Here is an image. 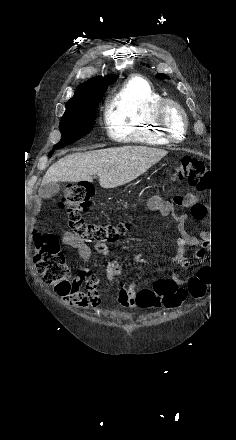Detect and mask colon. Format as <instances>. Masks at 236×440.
Masks as SVG:
<instances>
[{"instance_id":"1","label":"colon","mask_w":236,"mask_h":440,"mask_svg":"<svg viewBox=\"0 0 236 440\" xmlns=\"http://www.w3.org/2000/svg\"><path fill=\"white\" fill-rule=\"evenodd\" d=\"M171 179L175 182L186 180L190 186L205 190L209 184V170L202 160L184 156L175 165ZM92 194L93 188L89 183L71 185L65 188L59 205L66 210L69 228L75 236L95 245L112 243L128 230L129 223L102 225L85 221L83 213L90 206ZM35 239L37 253L34 263L38 273L56 293L63 297L68 295L72 289L69 267L57 238L52 234H37ZM213 281L216 283L218 280L215 278ZM211 282L210 276L200 273L190 280L186 290L173 280H158L154 289L142 290L138 305L141 308H148L152 304L161 303L165 308H177L184 302L188 293L194 298H201Z\"/></svg>"}]
</instances>
